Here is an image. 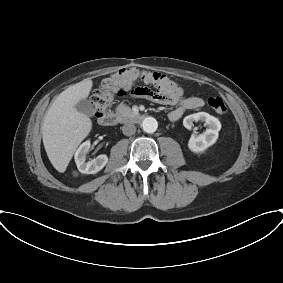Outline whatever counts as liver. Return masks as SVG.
Returning <instances> with one entry per match:
<instances>
[{
    "instance_id": "liver-1",
    "label": "liver",
    "mask_w": 283,
    "mask_h": 283,
    "mask_svg": "<svg viewBox=\"0 0 283 283\" xmlns=\"http://www.w3.org/2000/svg\"><path fill=\"white\" fill-rule=\"evenodd\" d=\"M93 82L87 78L64 90L52 103L42 124V139L53 167L65 172L75 150L88 136L92 121L75 105L89 96Z\"/></svg>"
}]
</instances>
